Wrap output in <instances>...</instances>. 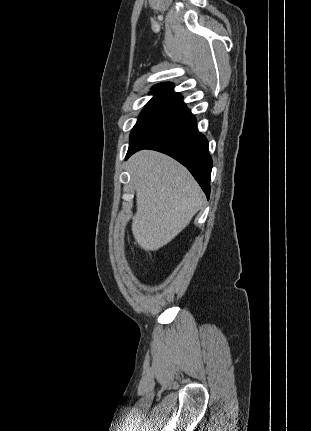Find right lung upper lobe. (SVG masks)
<instances>
[{"mask_svg": "<svg viewBox=\"0 0 311 431\" xmlns=\"http://www.w3.org/2000/svg\"><path fill=\"white\" fill-rule=\"evenodd\" d=\"M151 90L155 91V92H159V93L175 95V96H178L182 99V96L179 93H175L173 91V83H169V82L160 83V84L153 86L151 88Z\"/></svg>", "mask_w": 311, "mask_h": 431, "instance_id": "cb5924a9", "label": "right lung upper lobe"}]
</instances>
